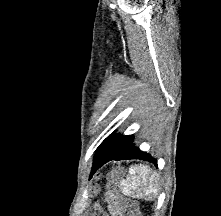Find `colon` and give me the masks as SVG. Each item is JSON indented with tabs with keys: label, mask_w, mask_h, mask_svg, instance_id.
<instances>
[{
	"label": "colon",
	"mask_w": 221,
	"mask_h": 216,
	"mask_svg": "<svg viewBox=\"0 0 221 216\" xmlns=\"http://www.w3.org/2000/svg\"><path fill=\"white\" fill-rule=\"evenodd\" d=\"M109 192L118 204L122 216H140L137 202L127 200L116 195V185L113 181L109 183Z\"/></svg>",
	"instance_id": "colon-1"
}]
</instances>
